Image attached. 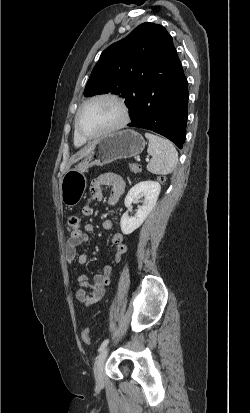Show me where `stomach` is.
Here are the masks:
<instances>
[{
  "label": "stomach",
  "mask_w": 250,
  "mask_h": 413,
  "mask_svg": "<svg viewBox=\"0 0 250 413\" xmlns=\"http://www.w3.org/2000/svg\"><path fill=\"white\" fill-rule=\"evenodd\" d=\"M144 147V138L134 130L110 133L97 139L94 148L61 179L60 195L63 204L69 208L78 204L87 186L85 173L90 167L137 156Z\"/></svg>",
  "instance_id": "1"
}]
</instances>
